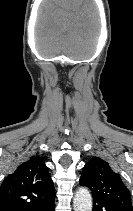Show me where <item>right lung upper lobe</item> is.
Wrapping results in <instances>:
<instances>
[{"instance_id": "right-lung-upper-lobe-1", "label": "right lung upper lobe", "mask_w": 133, "mask_h": 211, "mask_svg": "<svg viewBox=\"0 0 133 211\" xmlns=\"http://www.w3.org/2000/svg\"><path fill=\"white\" fill-rule=\"evenodd\" d=\"M55 197L48 167L31 157L7 176L0 186V211H32Z\"/></svg>"}]
</instances>
